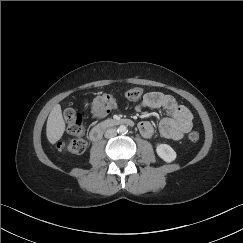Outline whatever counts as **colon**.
Instances as JSON below:
<instances>
[{
	"label": "colon",
	"mask_w": 243,
	"mask_h": 243,
	"mask_svg": "<svg viewBox=\"0 0 243 243\" xmlns=\"http://www.w3.org/2000/svg\"><path fill=\"white\" fill-rule=\"evenodd\" d=\"M142 96V89L139 87H133L128 89L125 92V97L130 101H137ZM64 119L66 122L67 127L69 130L77 136V138L60 144L58 147H66L68 150H70L73 153H83L86 149V141L82 138V135L84 133V117L83 115L75 111L72 108H68L64 111ZM200 138V135L196 131H192L188 134V140L190 142H197Z\"/></svg>",
	"instance_id": "obj_1"
}]
</instances>
